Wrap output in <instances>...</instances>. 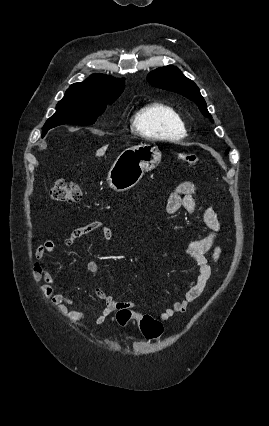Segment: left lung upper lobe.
Here are the masks:
<instances>
[{
	"mask_svg": "<svg viewBox=\"0 0 269 426\" xmlns=\"http://www.w3.org/2000/svg\"><path fill=\"white\" fill-rule=\"evenodd\" d=\"M147 80L151 85L157 88L177 92L194 101L204 116L212 118L197 85L192 80L185 77L178 68L166 66L156 69L148 74ZM228 151L229 149L226 150V154Z\"/></svg>",
	"mask_w": 269,
	"mask_h": 426,
	"instance_id": "1",
	"label": "left lung upper lobe"
}]
</instances>
